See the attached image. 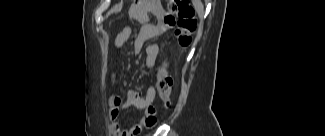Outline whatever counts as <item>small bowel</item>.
Segmentation results:
<instances>
[{"mask_svg": "<svg viewBox=\"0 0 325 136\" xmlns=\"http://www.w3.org/2000/svg\"><path fill=\"white\" fill-rule=\"evenodd\" d=\"M133 29L126 26L120 30L114 42L113 60L117 62L123 51L124 45L131 37ZM162 33V27L154 23L144 24L134 39V46L136 49L145 47L146 67L151 68L159 53V47L155 44H148L151 40L157 38ZM110 83H116V73L110 76ZM156 97V92L153 87H148L144 92L135 89L130 90L125 97L114 95L109 99L110 117L114 120L112 124L113 132L116 136H136L141 133L144 128H151L156 125L157 118L155 115V108L152 106ZM134 107L144 112V115L139 123L129 127L123 128L121 124L116 121L119 112L125 107Z\"/></svg>", "mask_w": 325, "mask_h": 136, "instance_id": "small-bowel-1", "label": "small bowel"}]
</instances>
